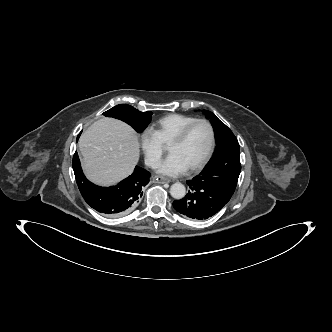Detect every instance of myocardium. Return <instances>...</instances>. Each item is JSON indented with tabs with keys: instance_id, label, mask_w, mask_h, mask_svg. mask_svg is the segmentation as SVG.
Returning <instances> with one entry per match:
<instances>
[{
	"instance_id": "myocardium-1",
	"label": "myocardium",
	"mask_w": 332,
	"mask_h": 332,
	"mask_svg": "<svg viewBox=\"0 0 332 332\" xmlns=\"http://www.w3.org/2000/svg\"><path fill=\"white\" fill-rule=\"evenodd\" d=\"M198 123H204L209 127L210 133H211V139H210L209 147H208L206 153L203 155V157L199 161H197L195 164H193L191 167L188 168V170H190L192 172L201 169L207 163V161L210 159V157L214 151L215 144H216V131H215L213 124L208 119L196 118L195 120L186 124L169 143V145H177V144H180L181 142H183V140L186 138L190 129L195 124H198Z\"/></svg>"
}]
</instances>
